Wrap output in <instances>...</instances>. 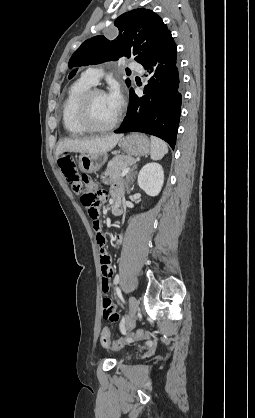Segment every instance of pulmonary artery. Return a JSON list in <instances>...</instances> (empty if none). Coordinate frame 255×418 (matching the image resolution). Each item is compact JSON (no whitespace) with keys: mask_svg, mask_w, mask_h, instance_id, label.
Instances as JSON below:
<instances>
[{"mask_svg":"<svg viewBox=\"0 0 255 418\" xmlns=\"http://www.w3.org/2000/svg\"><path fill=\"white\" fill-rule=\"evenodd\" d=\"M128 67L132 70L141 71V66L135 62L129 63ZM83 76L91 83L96 84L100 79L101 73L99 70L91 68L88 69Z\"/></svg>","mask_w":255,"mask_h":418,"instance_id":"e3ab8cb5","label":"pulmonary artery"}]
</instances>
